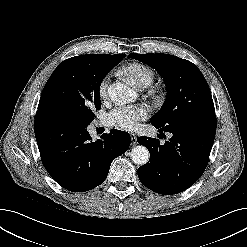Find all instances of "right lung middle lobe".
<instances>
[{"mask_svg":"<svg viewBox=\"0 0 247 247\" xmlns=\"http://www.w3.org/2000/svg\"><path fill=\"white\" fill-rule=\"evenodd\" d=\"M111 68L85 55L64 60L48 79L38 110L53 111L89 125L94 120V112L101 108L100 84Z\"/></svg>","mask_w":247,"mask_h":247,"instance_id":"dd1d6c3e","label":"right lung middle lobe"}]
</instances>
